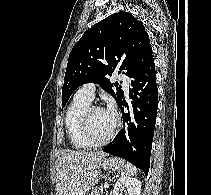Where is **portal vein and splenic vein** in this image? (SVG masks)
Returning a JSON list of instances; mask_svg holds the SVG:
<instances>
[{
  "label": "portal vein and splenic vein",
  "instance_id": "1",
  "mask_svg": "<svg viewBox=\"0 0 211 195\" xmlns=\"http://www.w3.org/2000/svg\"><path fill=\"white\" fill-rule=\"evenodd\" d=\"M108 187H109L108 184H104V185H103V189H107Z\"/></svg>",
  "mask_w": 211,
  "mask_h": 195
}]
</instances>
